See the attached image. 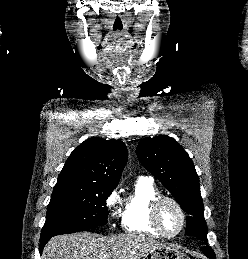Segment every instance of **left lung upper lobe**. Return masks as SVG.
I'll return each instance as SVG.
<instances>
[{
	"label": "left lung upper lobe",
	"mask_w": 248,
	"mask_h": 259,
	"mask_svg": "<svg viewBox=\"0 0 248 259\" xmlns=\"http://www.w3.org/2000/svg\"><path fill=\"white\" fill-rule=\"evenodd\" d=\"M137 156L189 214L186 234L207 240L199 177L185 150L173 138L160 135L141 140L137 146Z\"/></svg>",
	"instance_id": "left-lung-upper-lobe-1"
}]
</instances>
